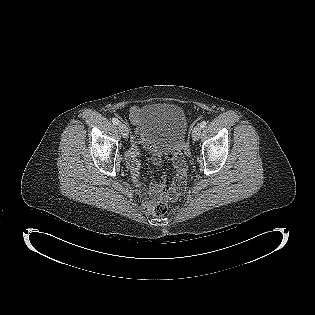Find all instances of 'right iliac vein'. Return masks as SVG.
<instances>
[{
    "instance_id": "right-iliac-vein-1",
    "label": "right iliac vein",
    "mask_w": 315,
    "mask_h": 315,
    "mask_svg": "<svg viewBox=\"0 0 315 315\" xmlns=\"http://www.w3.org/2000/svg\"><path fill=\"white\" fill-rule=\"evenodd\" d=\"M118 128H119V131L120 133L122 134L123 138L127 139L128 138V135H129V129L128 127L123 124V123H120L118 125Z\"/></svg>"
}]
</instances>
